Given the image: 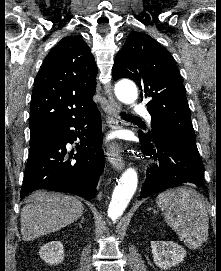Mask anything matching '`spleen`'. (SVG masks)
Wrapping results in <instances>:
<instances>
[{"label": "spleen", "instance_id": "1", "mask_svg": "<svg viewBox=\"0 0 221 271\" xmlns=\"http://www.w3.org/2000/svg\"><path fill=\"white\" fill-rule=\"evenodd\" d=\"M158 207L165 209L164 219L190 249H199L207 241L209 217L206 203L195 189H167L158 195Z\"/></svg>", "mask_w": 221, "mask_h": 271}]
</instances>
